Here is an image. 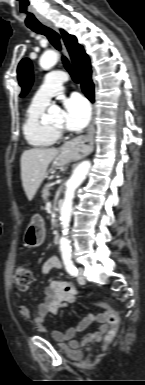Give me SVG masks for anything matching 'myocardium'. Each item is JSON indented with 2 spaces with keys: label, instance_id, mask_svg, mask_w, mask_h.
<instances>
[{
  "label": "myocardium",
  "instance_id": "f54148a6",
  "mask_svg": "<svg viewBox=\"0 0 145 385\" xmlns=\"http://www.w3.org/2000/svg\"><path fill=\"white\" fill-rule=\"evenodd\" d=\"M50 127L55 131L57 132L58 134L62 133L63 132V127H55L53 125H50Z\"/></svg>",
  "mask_w": 145,
  "mask_h": 385
}]
</instances>
